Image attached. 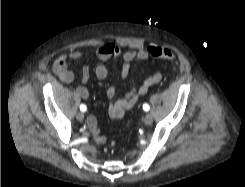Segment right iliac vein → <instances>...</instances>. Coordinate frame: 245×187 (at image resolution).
<instances>
[{
	"label": "right iliac vein",
	"instance_id": "right-iliac-vein-1",
	"mask_svg": "<svg viewBox=\"0 0 245 187\" xmlns=\"http://www.w3.org/2000/svg\"><path fill=\"white\" fill-rule=\"evenodd\" d=\"M76 118H77L78 121H83L84 120V114L82 112H79L76 115Z\"/></svg>",
	"mask_w": 245,
	"mask_h": 187
}]
</instances>
